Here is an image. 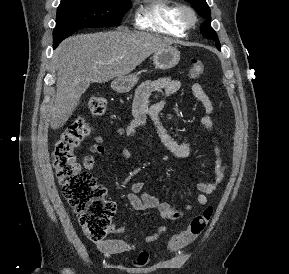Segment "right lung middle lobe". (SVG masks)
Masks as SVG:
<instances>
[{
	"label": "right lung middle lobe",
	"instance_id": "right-lung-middle-lobe-1",
	"mask_svg": "<svg viewBox=\"0 0 289 274\" xmlns=\"http://www.w3.org/2000/svg\"><path fill=\"white\" fill-rule=\"evenodd\" d=\"M130 7V0H62L53 30V47L79 29L116 25Z\"/></svg>",
	"mask_w": 289,
	"mask_h": 274
}]
</instances>
